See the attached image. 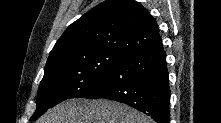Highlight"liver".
<instances>
[{"label":"liver","instance_id":"6515ba94","mask_svg":"<svg viewBox=\"0 0 221 123\" xmlns=\"http://www.w3.org/2000/svg\"><path fill=\"white\" fill-rule=\"evenodd\" d=\"M38 123H153L144 114L109 100L71 99L49 110Z\"/></svg>","mask_w":221,"mask_h":123}]
</instances>
